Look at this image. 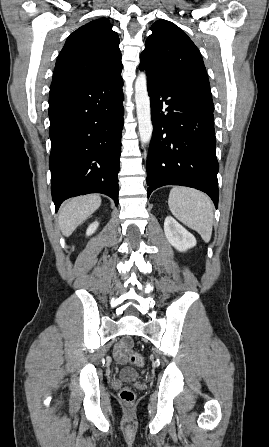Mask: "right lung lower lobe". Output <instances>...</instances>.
Here are the masks:
<instances>
[{
    "instance_id": "obj_1",
    "label": "right lung lower lobe",
    "mask_w": 269,
    "mask_h": 447,
    "mask_svg": "<svg viewBox=\"0 0 269 447\" xmlns=\"http://www.w3.org/2000/svg\"><path fill=\"white\" fill-rule=\"evenodd\" d=\"M121 73L99 83L51 88V191L56 212L67 198L103 193L118 205L123 128Z\"/></svg>"
}]
</instances>
